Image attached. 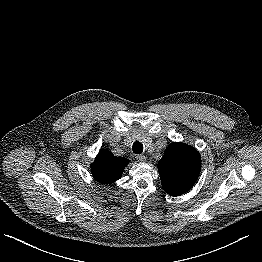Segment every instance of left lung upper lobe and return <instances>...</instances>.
Masks as SVG:
<instances>
[{"label":"left lung upper lobe","mask_w":262,"mask_h":262,"mask_svg":"<svg viewBox=\"0 0 262 262\" xmlns=\"http://www.w3.org/2000/svg\"><path fill=\"white\" fill-rule=\"evenodd\" d=\"M200 169L199 152L192 146L181 142L170 143L158 162L162 186L171 196L188 192L195 184Z\"/></svg>","instance_id":"obj_1"}]
</instances>
